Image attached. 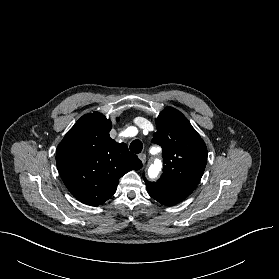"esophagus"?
Here are the masks:
<instances>
[{
  "instance_id": "obj_1",
  "label": "esophagus",
  "mask_w": 279,
  "mask_h": 279,
  "mask_svg": "<svg viewBox=\"0 0 279 279\" xmlns=\"http://www.w3.org/2000/svg\"><path fill=\"white\" fill-rule=\"evenodd\" d=\"M138 157H139V159L141 160V162H142L143 164H145V162H146V155H145L144 153H140V154L138 155Z\"/></svg>"
}]
</instances>
